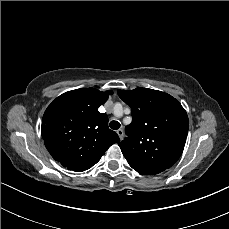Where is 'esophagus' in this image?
I'll list each match as a JSON object with an SVG mask.
<instances>
[{
  "mask_svg": "<svg viewBox=\"0 0 229 229\" xmlns=\"http://www.w3.org/2000/svg\"><path fill=\"white\" fill-rule=\"evenodd\" d=\"M117 134H118V136L120 137V140H122L123 137H124L123 130H122V129H118V130H117Z\"/></svg>",
  "mask_w": 229,
  "mask_h": 229,
  "instance_id": "1",
  "label": "esophagus"
}]
</instances>
